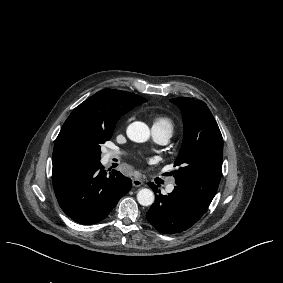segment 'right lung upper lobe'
<instances>
[{
	"label": "right lung upper lobe",
	"instance_id": "1",
	"mask_svg": "<svg viewBox=\"0 0 283 283\" xmlns=\"http://www.w3.org/2000/svg\"><path fill=\"white\" fill-rule=\"evenodd\" d=\"M147 101L120 90L104 89L77 106L62 126L53 151V183L96 164L89 140L99 130H113L121 115Z\"/></svg>",
	"mask_w": 283,
	"mask_h": 283
}]
</instances>
